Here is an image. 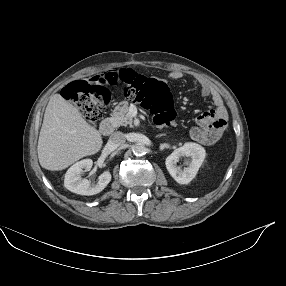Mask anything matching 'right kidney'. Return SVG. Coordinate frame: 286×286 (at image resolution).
I'll return each instance as SVG.
<instances>
[{
  "label": "right kidney",
  "mask_w": 286,
  "mask_h": 286,
  "mask_svg": "<svg viewBox=\"0 0 286 286\" xmlns=\"http://www.w3.org/2000/svg\"><path fill=\"white\" fill-rule=\"evenodd\" d=\"M92 165L93 161L91 159H84L72 165L65 174V188L80 195L89 196L100 193L111 181V173L109 171L103 172L99 176L97 183H91L87 179H82V170H90Z\"/></svg>",
  "instance_id": "right-kidney-1"
}]
</instances>
